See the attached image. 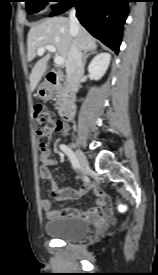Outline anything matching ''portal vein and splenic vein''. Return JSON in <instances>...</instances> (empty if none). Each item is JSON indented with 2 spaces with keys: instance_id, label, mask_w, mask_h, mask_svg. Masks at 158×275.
Wrapping results in <instances>:
<instances>
[{
  "instance_id": "portal-vein-and-splenic-vein-1",
  "label": "portal vein and splenic vein",
  "mask_w": 158,
  "mask_h": 275,
  "mask_svg": "<svg viewBox=\"0 0 158 275\" xmlns=\"http://www.w3.org/2000/svg\"><path fill=\"white\" fill-rule=\"evenodd\" d=\"M46 50L51 52V53L56 52V48L53 45H45V46L40 47L37 50V55H39V56L43 55ZM54 62L56 63V65L62 66V65H64V58L61 57V56H56L54 58Z\"/></svg>"
}]
</instances>
